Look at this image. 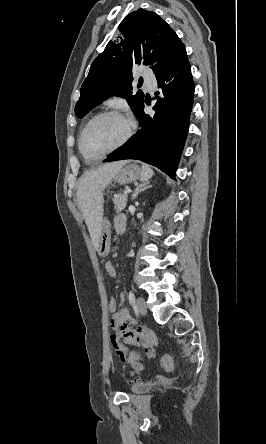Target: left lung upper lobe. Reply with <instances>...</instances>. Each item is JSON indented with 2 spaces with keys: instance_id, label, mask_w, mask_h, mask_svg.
I'll use <instances>...</instances> for the list:
<instances>
[{
  "instance_id": "left-lung-upper-lobe-1",
  "label": "left lung upper lobe",
  "mask_w": 266,
  "mask_h": 444,
  "mask_svg": "<svg viewBox=\"0 0 266 444\" xmlns=\"http://www.w3.org/2000/svg\"><path fill=\"white\" fill-rule=\"evenodd\" d=\"M118 29L122 36L107 44L82 84L75 107L79 118L113 95L126 98L137 114L144 94L141 90L132 94L133 66L147 65L157 76L186 52L174 30L154 12L138 9L127 15Z\"/></svg>"
}]
</instances>
